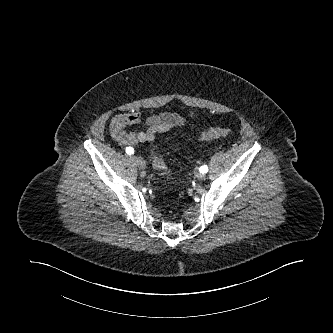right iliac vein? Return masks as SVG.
<instances>
[{
	"instance_id": "obj_1",
	"label": "right iliac vein",
	"mask_w": 333,
	"mask_h": 333,
	"mask_svg": "<svg viewBox=\"0 0 333 333\" xmlns=\"http://www.w3.org/2000/svg\"><path fill=\"white\" fill-rule=\"evenodd\" d=\"M133 159L135 160L136 165L140 169H145L146 168V163H145V161L141 157L133 156Z\"/></svg>"
}]
</instances>
